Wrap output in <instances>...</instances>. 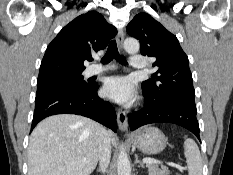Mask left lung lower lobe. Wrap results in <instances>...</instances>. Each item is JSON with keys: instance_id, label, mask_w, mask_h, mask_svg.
Masks as SVG:
<instances>
[{"instance_id": "1", "label": "left lung lower lobe", "mask_w": 233, "mask_h": 175, "mask_svg": "<svg viewBox=\"0 0 233 175\" xmlns=\"http://www.w3.org/2000/svg\"><path fill=\"white\" fill-rule=\"evenodd\" d=\"M143 94L144 107L129 116L132 131L151 123H173L188 129L200 140L194 96L178 94L157 102Z\"/></svg>"}]
</instances>
